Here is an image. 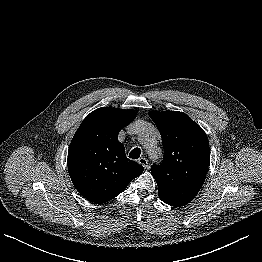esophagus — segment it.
<instances>
[{"mask_svg":"<svg viewBox=\"0 0 262 262\" xmlns=\"http://www.w3.org/2000/svg\"><path fill=\"white\" fill-rule=\"evenodd\" d=\"M138 162L144 167L148 168V160L146 158H140Z\"/></svg>","mask_w":262,"mask_h":262,"instance_id":"34e87169","label":"esophagus"}]
</instances>
